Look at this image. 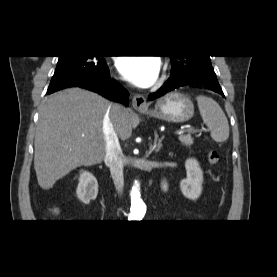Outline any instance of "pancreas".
<instances>
[{
	"mask_svg": "<svg viewBox=\"0 0 277 277\" xmlns=\"http://www.w3.org/2000/svg\"><path fill=\"white\" fill-rule=\"evenodd\" d=\"M179 141L187 147H190L193 144V138L190 134L181 135L179 137Z\"/></svg>",
	"mask_w": 277,
	"mask_h": 277,
	"instance_id": "obj_1",
	"label": "pancreas"
}]
</instances>
